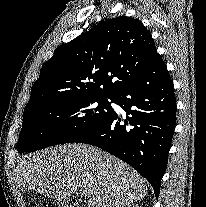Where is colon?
<instances>
[{"label": "colon", "mask_w": 206, "mask_h": 207, "mask_svg": "<svg viewBox=\"0 0 206 207\" xmlns=\"http://www.w3.org/2000/svg\"><path fill=\"white\" fill-rule=\"evenodd\" d=\"M52 207H80V206L76 204L68 203V204H54Z\"/></svg>", "instance_id": "1"}]
</instances>
